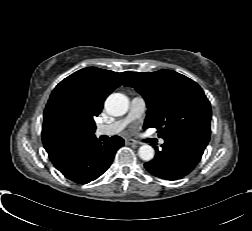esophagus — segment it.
<instances>
[{"mask_svg":"<svg viewBox=\"0 0 252 231\" xmlns=\"http://www.w3.org/2000/svg\"><path fill=\"white\" fill-rule=\"evenodd\" d=\"M125 143L127 144V145H137L138 143L136 142V141H134L133 139H126L125 140Z\"/></svg>","mask_w":252,"mask_h":231,"instance_id":"obj_1","label":"esophagus"}]
</instances>
